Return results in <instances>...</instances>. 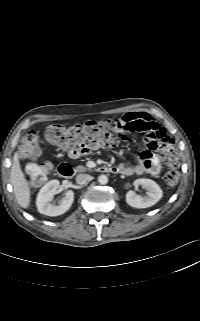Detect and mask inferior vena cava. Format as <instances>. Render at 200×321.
<instances>
[{"label":"inferior vena cava","mask_w":200,"mask_h":321,"mask_svg":"<svg viewBox=\"0 0 200 321\" xmlns=\"http://www.w3.org/2000/svg\"><path fill=\"white\" fill-rule=\"evenodd\" d=\"M88 179H89V175H87V174H79L76 176V182L79 185H83V184L87 183Z\"/></svg>","instance_id":"1"}]
</instances>
